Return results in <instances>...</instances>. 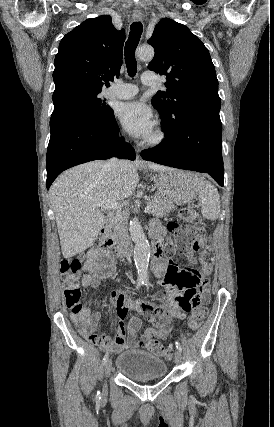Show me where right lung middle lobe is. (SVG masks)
Here are the masks:
<instances>
[{
	"mask_svg": "<svg viewBox=\"0 0 274 427\" xmlns=\"http://www.w3.org/2000/svg\"><path fill=\"white\" fill-rule=\"evenodd\" d=\"M95 94H71L66 95L54 103V111L50 119V131L53 132L56 125L78 117L92 120L103 119L113 113L106 106V102Z\"/></svg>",
	"mask_w": 274,
	"mask_h": 427,
	"instance_id": "right-lung-middle-lobe-1",
	"label": "right lung middle lobe"
}]
</instances>
